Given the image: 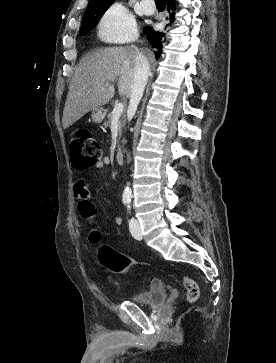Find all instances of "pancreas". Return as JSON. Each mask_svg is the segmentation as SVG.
Listing matches in <instances>:
<instances>
[{"label":"pancreas","mask_w":276,"mask_h":363,"mask_svg":"<svg viewBox=\"0 0 276 363\" xmlns=\"http://www.w3.org/2000/svg\"><path fill=\"white\" fill-rule=\"evenodd\" d=\"M112 119H113V113H109L108 114V120L104 122V126L109 127L111 122H112ZM124 125H125V120H124V118H121L118 121V133H119V136H121V134H122V128L124 127Z\"/></svg>","instance_id":"pancreas-1"}]
</instances>
